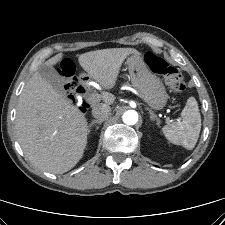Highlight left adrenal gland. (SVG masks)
Listing matches in <instances>:
<instances>
[{"label": "left adrenal gland", "instance_id": "1", "mask_svg": "<svg viewBox=\"0 0 225 225\" xmlns=\"http://www.w3.org/2000/svg\"><path fill=\"white\" fill-rule=\"evenodd\" d=\"M149 110V113H150V119L153 120V121H156V124L159 125L160 121L159 119L157 118V116L150 110V109H147Z\"/></svg>", "mask_w": 225, "mask_h": 225}]
</instances>
